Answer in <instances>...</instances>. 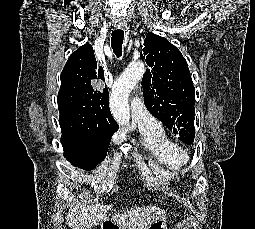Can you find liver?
Wrapping results in <instances>:
<instances>
[{"label":"liver","mask_w":255,"mask_h":229,"mask_svg":"<svg viewBox=\"0 0 255 229\" xmlns=\"http://www.w3.org/2000/svg\"><path fill=\"white\" fill-rule=\"evenodd\" d=\"M88 192L79 196L83 200V204L77 202L69 209L65 219L71 229H86L97 226L104 221H108V212L112 205L103 204H87L86 198ZM165 217V212L157 206H134L130 209H124L115 214L111 221L122 227V229H146L158 218Z\"/></svg>","instance_id":"1"}]
</instances>
